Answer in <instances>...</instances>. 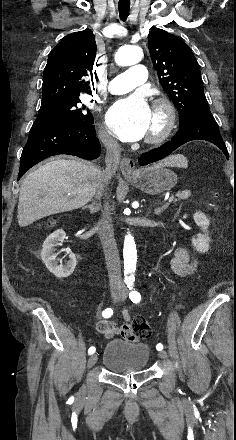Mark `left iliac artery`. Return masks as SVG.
Here are the masks:
<instances>
[{
	"label": "left iliac artery",
	"mask_w": 236,
	"mask_h": 440,
	"mask_svg": "<svg viewBox=\"0 0 236 440\" xmlns=\"http://www.w3.org/2000/svg\"><path fill=\"white\" fill-rule=\"evenodd\" d=\"M129 289L131 290L129 293V298L133 303H139L141 300V295L139 292H137L132 286L129 287ZM156 349L158 351H161L163 349V345L161 343L157 344Z\"/></svg>",
	"instance_id": "44dca946"
}]
</instances>
